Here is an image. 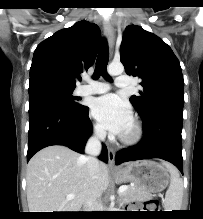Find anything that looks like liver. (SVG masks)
Here are the masks:
<instances>
[{"mask_svg":"<svg viewBox=\"0 0 203 219\" xmlns=\"http://www.w3.org/2000/svg\"><path fill=\"white\" fill-rule=\"evenodd\" d=\"M27 201L30 212H79L94 194L109 184L105 163L96 178L89 176L86 157L65 146L52 145L37 152L27 166ZM75 197L67 200V195Z\"/></svg>","mask_w":203,"mask_h":219,"instance_id":"1","label":"liver"}]
</instances>
